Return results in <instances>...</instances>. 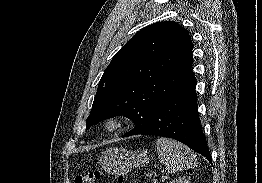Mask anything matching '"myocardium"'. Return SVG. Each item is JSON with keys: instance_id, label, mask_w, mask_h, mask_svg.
<instances>
[{"instance_id": "1", "label": "myocardium", "mask_w": 262, "mask_h": 183, "mask_svg": "<svg viewBox=\"0 0 262 183\" xmlns=\"http://www.w3.org/2000/svg\"><path fill=\"white\" fill-rule=\"evenodd\" d=\"M128 121V117L122 114L109 115L102 121V128L107 133H116L124 129Z\"/></svg>"}]
</instances>
